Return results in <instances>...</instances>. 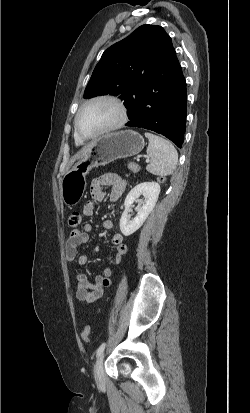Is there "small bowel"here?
Here are the masks:
<instances>
[{
  "mask_svg": "<svg viewBox=\"0 0 250 413\" xmlns=\"http://www.w3.org/2000/svg\"><path fill=\"white\" fill-rule=\"evenodd\" d=\"M105 187H111L110 201L116 202L126 191L127 181L121 176L113 173H107L95 178L91 183L90 193L92 199L96 201L104 200L106 193ZM83 213L87 216L93 214V204L88 201L83 207ZM103 227L106 230L114 228V222L106 219L103 222ZM92 224H85L83 230L74 229L65 245V257L68 262L77 261L79 265H85L88 261L87 255L79 254L78 248L89 240L90 233L93 232ZM111 243L115 247L114 263L120 264L124 255L127 253V246L121 233H114L111 238ZM112 271L106 267L100 275L95 277V283L91 284L88 277L83 272L76 274L77 290L76 298L86 304H92L100 300L107 288L111 285Z\"/></svg>",
  "mask_w": 250,
  "mask_h": 413,
  "instance_id": "obj_1",
  "label": "small bowel"
}]
</instances>
